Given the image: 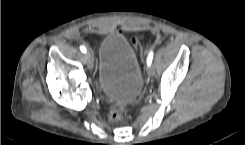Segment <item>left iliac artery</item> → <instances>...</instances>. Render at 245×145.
<instances>
[{
    "label": "left iliac artery",
    "instance_id": "44dca946",
    "mask_svg": "<svg viewBox=\"0 0 245 145\" xmlns=\"http://www.w3.org/2000/svg\"><path fill=\"white\" fill-rule=\"evenodd\" d=\"M153 60V51H151L147 57V65H151Z\"/></svg>",
    "mask_w": 245,
    "mask_h": 145
}]
</instances>
